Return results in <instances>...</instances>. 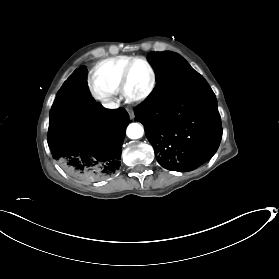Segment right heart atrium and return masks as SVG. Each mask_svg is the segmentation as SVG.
I'll use <instances>...</instances> for the list:
<instances>
[{
  "mask_svg": "<svg viewBox=\"0 0 279 279\" xmlns=\"http://www.w3.org/2000/svg\"><path fill=\"white\" fill-rule=\"evenodd\" d=\"M92 93L96 99L101 101L107 99L110 96V93H108L104 89L93 85H92Z\"/></svg>",
  "mask_w": 279,
  "mask_h": 279,
  "instance_id": "d8ad5b80",
  "label": "right heart atrium"
}]
</instances>
